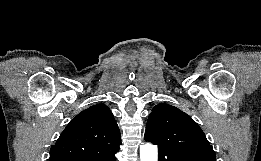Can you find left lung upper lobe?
I'll return each mask as SVG.
<instances>
[{"label": "left lung upper lobe", "instance_id": "left-lung-upper-lobe-1", "mask_svg": "<svg viewBox=\"0 0 261 161\" xmlns=\"http://www.w3.org/2000/svg\"><path fill=\"white\" fill-rule=\"evenodd\" d=\"M145 140L159 148H173L215 161V152L197 123L169 104L156 105L150 113Z\"/></svg>", "mask_w": 261, "mask_h": 161}]
</instances>
